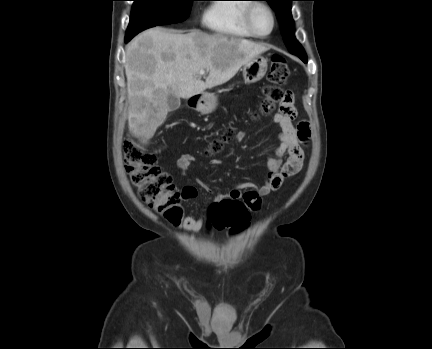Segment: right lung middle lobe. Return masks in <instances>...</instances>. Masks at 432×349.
I'll return each instance as SVG.
<instances>
[{
	"label": "right lung middle lobe",
	"instance_id": "right-lung-middle-lobe-1",
	"mask_svg": "<svg viewBox=\"0 0 432 349\" xmlns=\"http://www.w3.org/2000/svg\"><path fill=\"white\" fill-rule=\"evenodd\" d=\"M126 37L132 38L144 29L186 20L195 0H133Z\"/></svg>",
	"mask_w": 432,
	"mask_h": 349
}]
</instances>
